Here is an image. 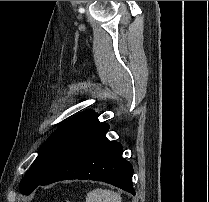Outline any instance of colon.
<instances>
[{"label":"colon","mask_w":209,"mask_h":202,"mask_svg":"<svg viewBox=\"0 0 209 202\" xmlns=\"http://www.w3.org/2000/svg\"><path fill=\"white\" fill-rule=\"evenodd\" d=\"M60 202H72V201H70V200H62Z\"/></svg>","instance_id":"colon-1"}]
</instances>
